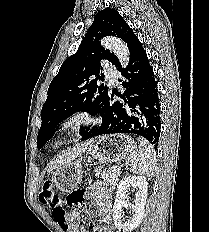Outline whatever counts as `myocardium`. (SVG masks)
<instances>
[{
	"label": "myocardium",
	"instance_id": "obj_1",
	"mask_svg": "<svg viewBox=\"0 0 209 232\" xmlns=\"http://www.w3.org/2000/svg\"><path fill=\"white\" fill-rule=\"evenodd\" d=\"M94 122L93 117L86 112H76L65 119L61 128L65 132H77Z\"/></svg>",
	"mask_w": 209,
	"mask_h": 232
}]
</instances>
